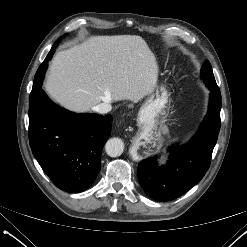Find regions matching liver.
<instances>
[{
	"mask_svg": "<svg viewBox=\"0 0 247 247\" xmlns=\"http://www.w3.org/2000/svg\"><path fill=\"white\" fill-rule=\"evenodd\" d=\"M158 64L137 35L91 36L58 52L45 90L62 107L85 113L100 102H138L157 87Z\"/></svg>",
	"mask_w": 247,
	"mask_h": 247,
	"instance_id": "obj_1",
	"label": "liver"
}]
</instances>
